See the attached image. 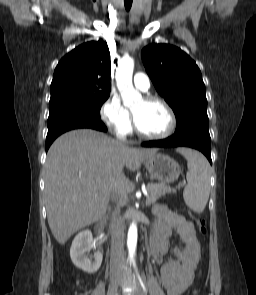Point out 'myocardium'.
<instances>
[{"mask_svg":"<svg viewBox=\"0 0 256 295\" xmlns=\"http://www.w3.org/2000/svg\"><path fill=\"white\" fill-rule=\"evenodd\" d=\"M147 103H158L162 105L165 110L168 113L169 116V126L167 130L161 134H148L143 132L138 125L136 124V121L134 119V116L132 115V126L134 132L141 138L148 139V140H162L170 137L173 132L175 131L176 128V117L174 114V111L172 107L168 104L167 101H165L163 98L158 97V96H147L143 99Z\"/></svg>","mask_w":256,"mask_h":295,"instance_id":"obj_1","label":"myocardium"}]
</instances>
